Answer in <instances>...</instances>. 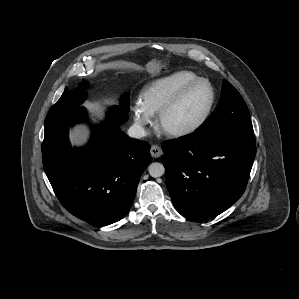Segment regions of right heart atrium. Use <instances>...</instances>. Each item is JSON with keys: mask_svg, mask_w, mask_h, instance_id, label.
<instances>
[{"mask_svg": "<svg viewBox=\"0 0 299 299\" xmlns=\"http://www.w3.org/2000/svg\"><path fill=\"white\" fill-rule=\"evenodd\" d=\"M133 117L136 125L145 130L153 123L154 114L145 109L140 103L133 107Z\"/></svg>", "mask_w": 299, "mask_h": 299, "instance_id": "obj_1", "label": "right heart atrium"}]
</instances>
